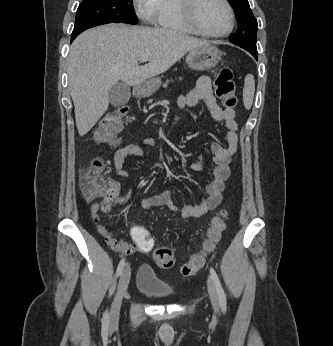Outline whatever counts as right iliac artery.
<instances>
[{
  "mask_svg": "<svg viewBox=\"0 0 333 346\" xmlns=\"http://www.w3.org/2000/svg\"><path fill=\"white\" fill-rule=\"evenodd\" d=\"M125 265V259L123 258L120 263L118 264L116 275L119 277L123 271ZM108 322H109V314L107 311H105L103 318H102V328L103 330H107L108 328Z\"/></svg>",
  "mask_w": 333,
  "mask_h": 346,
  "instance_id": "obj_1",
  "label": "right iliac artery"
}]
</instances>
